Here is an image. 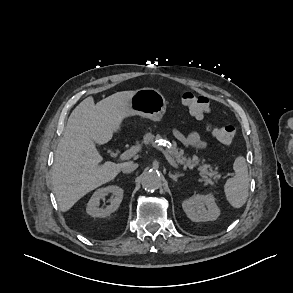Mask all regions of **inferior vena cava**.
Here are the masks:
<instances>
[{"mask_svg":"<svg viewBox=\"0 0 293 293\" xmlns=\"http://www.w3.org/2000/svg\"><path fill=\"white\" fill-rule=\"evenodd\" d=\"M137 167H138V164L137 163H134V162L130 161V162L123 163L121 170H122L123 173H131Z\"/></svg>","mask_w":293,"mask_h":293,"instance_id":"obj_1","label":"inferior vena cava"}]
</instances>
